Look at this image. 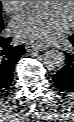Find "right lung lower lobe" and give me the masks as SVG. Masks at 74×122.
I'll return each instance as SVG.
<instances>
[{"label":"right lung lower lobe","mask_w":74,"mask_h":122,"mask_svg":"<svg viewBox=\"0 0 74 122\" xmlns=\"http://www.w3.org/2000/svg\"><path fill=\"white\" fill-rule=\"evenodd\" d=\"M10 39L0 37V93L5 92L12 80L14 67L26 52L24 46L13 47Z\"/></svg>","instance_id":"98d812e1"}]
</instances>
